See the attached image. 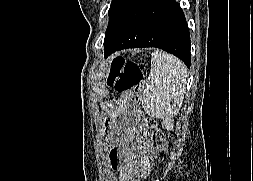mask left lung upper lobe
<instances>
[{
	"instance_id": "1",
	"label": "left lung upper lobe",
	"mask_w": 253,
	"mask_h": 181,
	"mask_svg": "<svg viewBox=\"0 0 253 181\" xmlns=\"http://www.w3.org/2000/svg\"><path fill=\"white\" fill-rule=\"evenodd\" d=\"M132 0H112L109 9V24L105 35L110 31L115 22L121 16L126 7L131 3Z\"/></svg>"
}]
</instances>
